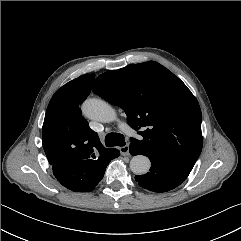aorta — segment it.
Listing matches in <instances>:
<instances>
[{
    "mask_svg": "<svg viewBox=\"0 0 241 241\" xmlns=\"http://www.w3.org/2000/svg\"><path fill=\"white\" fill-rule=\"evenodd\" d=\"M82 111L86 117L98 122H111L117 118L116 110L101 99H87L82 105ZM150 166L149 158L144 155H136L130 161V169L136 175L146 174Z\"/></svg>",
    "mask_w": 241,
    "mask_h": 241,
    "instance_id": "obj_1",
    "label": "aorta"
}]
</instances>
